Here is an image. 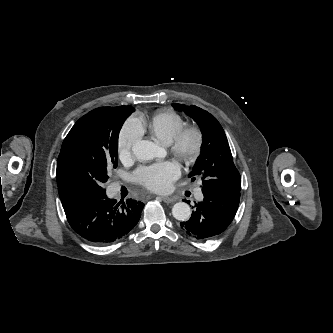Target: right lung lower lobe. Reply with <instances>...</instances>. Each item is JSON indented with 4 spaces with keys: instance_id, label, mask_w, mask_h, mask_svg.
<instances>
[{
    "instance_id": "98d812e1",
    "label": "right lung lower lobe",
    "mask_w": 333,
    "mask_h": 333,
    "mask_svg": "<svg viewBox=\"0 0 333 333\" xmlns=\"http://www.w3.org/2000/svg\"><path fill=\"white\" fill-rule=\"evenodd\" d=\"M72 229L84 240L106 245L127 235L141 217L144 204L127 199L117 202L106 195L62 202Z\"/></svg>"
}]
</instances>
